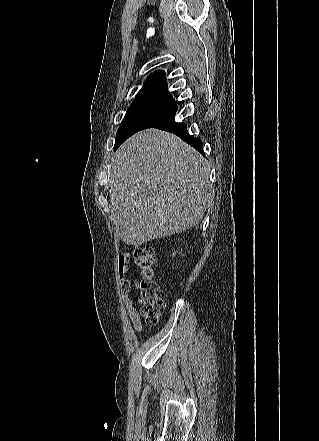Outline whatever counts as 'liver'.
Returning a JSON list of instances; mask_svg holds the SVG:
<instances>
[{
	"mask_svg": "<svg viewBox=\"0 0 319 441\" xmlns=\"http://www.w3.org/2000/svg\"><path fill=\"white\" fill-rule=\"evenodd\" d=\"M208 162L176 135L146 129L115 154L110 201L128 245L196 226L214 199Z\"/></svg>",
	"mask_w": 319,
	"mask_h": 441,
	"instance_id": "obj_1",
	"label": "liver"
}]
</instances>
